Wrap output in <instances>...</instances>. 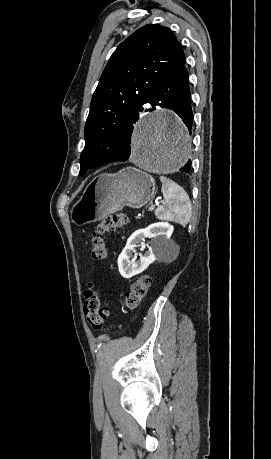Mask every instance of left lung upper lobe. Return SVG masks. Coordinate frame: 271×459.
<instances>
[{"mask_svg":"<svg viewBox=\"0 0 271 459\" xmlns=\"http://www.w3.org/2000/svg\"><path fill=\"white\" fill-rule=\"evenodd\" d=\"M184 65L182 45L167 27L145 25L118 46L92 97L80 175L123 153V136L139 119L148 96Z\"/></svg>","mask_w":271,"mask_h":459,"instance_id":"left-lung-upper-lobe-1","label":"left lung upper lobe"}]
</instances>
